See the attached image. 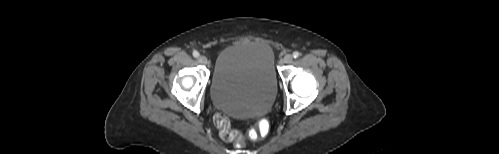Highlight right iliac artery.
<instances>
[{"label":"right iliac artery","instance_id":"right-iliac-artery-1","mask_svg":"<svg viewBox=\"0 0 499 154\" xmlns=\"http://www.w3.org/2000/svg\"><path fill=\"white\" fill-rule=\"evenodd\" d=\"M193 56H194L195 58H198V57H199V52H198V51H196V50H194V51H193Z\"/></svg>","mask_w":499,"mask_h":154}]
</instances>
